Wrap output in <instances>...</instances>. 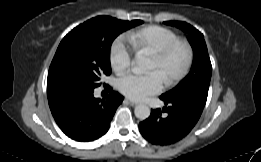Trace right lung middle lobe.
Instances as JSON below:
<instances>
[{"label": "right lung middle lobe", "mask_w": 261, "mask_h": 162, "mask_svg": "<svg viewBox=\"0 0 261 162\" xmlns=\"http://www.w3.org/2000/svg\"><path fill=\"white\" fill-rule=\"evenodd\" d=\"M142 23L98 16L70 31L59 44L49 68L48 98L66 88L94 90L100 86V76L111 73L109 51L113 40Z\"/></svg>", "instance_id": "obj_1"}]
</instances>
